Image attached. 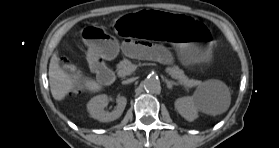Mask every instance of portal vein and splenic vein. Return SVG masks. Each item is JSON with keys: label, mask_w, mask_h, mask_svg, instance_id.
I'll list each match as a JSON object with an SVG mask.
<instances>
[{"label": "portal vein and splenic vein", "mask_w": 279, "mask_h": 148, "mask_svg": "<svg viewBox=\"0 0 279 148\" xmlns=\"http://www.w3.org/2000/svg\"><path fill=\"white\" fill-rule=\"evenodd\" d=\"M137 66L135 65H132V69L135 70ZM183 85H185L186 87H193V86H196V85H193L191 82L189 81H184L183 82Z\"/></svg>", "instance_id": "1"}]
</instances>
